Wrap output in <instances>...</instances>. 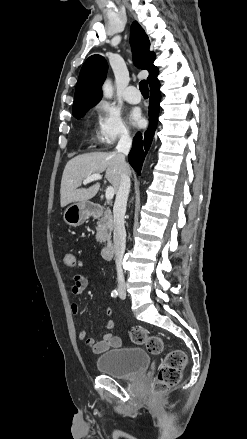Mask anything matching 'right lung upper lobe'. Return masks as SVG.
Here are the masks:
<instances>
[{
  "label": "right lung upper lobe",
  "mask_w": 247,
  "mask_h": 439,
  "mask_svg": "<svg viewBox=\"0 0 247 439\" xmlns=\"http://www.w3.org/2000/svg\"><path fill=\"white\" fill-rule=\"evenodd\" d=\"M130 44L134 64L140 69L149 71L147 80L150 87L159 83L157 79L159 71L153 65L155 54L149 51L148 36L136 21L131 26ZM107 68L106 60L100 55H92L85 61L76 84L73 114L89 110L101 100V86L106 78Z\"/></svg>",
  "instance_id": "obj_1"
}]
</instances>
